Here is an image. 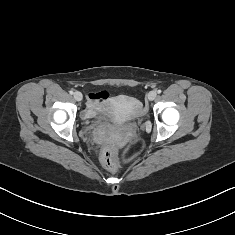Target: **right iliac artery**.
I'll list each match as a JSON object with an SVG mask.
<instances>
[{"label": "right iliac artery", "mask_w": 235, "mask_h": 235, "mask_svg": "<svg viewBox=\"0 0 235 235\" xmlns=\"http://www.w3.org/2000/svg\"><path fill=\"white\" fill-rule=\"evenodd\" d=\"M69 93L72 95L74 94V90H70Z\"/></svg>", "instance_id": "82829eb1"}]
</instances>
